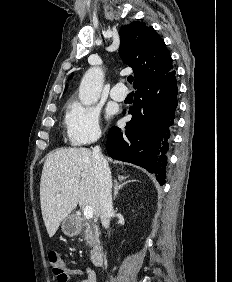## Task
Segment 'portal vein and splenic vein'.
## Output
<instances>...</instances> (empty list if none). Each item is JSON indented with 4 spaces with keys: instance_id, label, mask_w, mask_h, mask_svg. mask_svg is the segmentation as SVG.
<instances>
[{
    "instance_id": "portal-vein-and-splenic-vein-1",
    "label": "portal vein and splenic vein",
    "mask_w": 232,
    "mask_h": 282,
    "mask_svg": "<svg viewBox=\"0 0 232 282\" xmlns=\"http://www.w3.org/2000/svg\"><path fill=\"white\" fill-rule=\"evenodd\" d=\"M83 213H84V217L86 219H92L93 218V214H94V211H93V208L91 206H85L84 209H83Z\"/></svg>"
}]
</instances>
